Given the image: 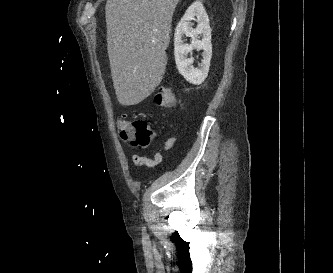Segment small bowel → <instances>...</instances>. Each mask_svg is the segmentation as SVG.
<instances>
[{"label":"small bowel","mask_w":333,"mask_h":273,"mask_svg":"<svg viewBox=\"0 0 333 273\" xmlns=\"http://www.w3.org/2000/svg\"><path fill=\"white\" fill-rule=\"evenodd\" d=\"M175 142H176L175 137H169L163 143L162 147L158 151L155 152V154L152 158L143 156L140 154H132L131 159L137 165H146L149 167L157 166L163 160V152H166V151H169L170 149H172Z\"/></svg>","instance_id":"obj_1"}]
</instances>
